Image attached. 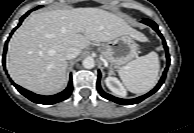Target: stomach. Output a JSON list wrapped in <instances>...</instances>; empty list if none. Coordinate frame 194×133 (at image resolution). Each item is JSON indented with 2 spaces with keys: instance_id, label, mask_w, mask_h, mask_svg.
Wrapping results in <instances>:
<instances>
[{
  "instance_id": "0dacf381",
  "label": "stomach",
  "mask_w": 194,
  "mask_h": 133,
  "mask_svg": "<svg viewBox=\"0 0 194 133\" xmlns=\"http://www.w3.org/2000/svg\"><path fill=\"white\" fill-rule=\"evenodd\" d=\"M100 52L111 66H120L136 57L138 46L131 35L125 34L103 44Z\"/></svg>"
}]
</instances>
